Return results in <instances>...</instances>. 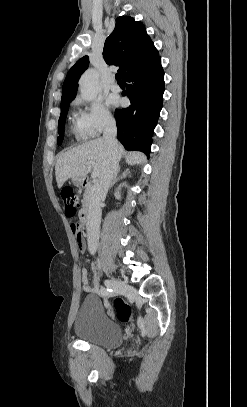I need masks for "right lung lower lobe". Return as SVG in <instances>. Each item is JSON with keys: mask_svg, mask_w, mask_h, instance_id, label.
Returning <instances> with one entry per match:
<instances>
[{"mask_svg": "<svg viewBox=\"0 0 247 407\" xmlns=\"http://www.w3.org/2000/svg\"><path fill=\"white\" fill-rule=\"evenodd\" d=\"M122 79L127 82L123 95L128 96L131 105L115 111L117 138L126 150L149 155L164 93L161 57L134 68Z\"/></svg>", "mask_w": 247, "mask_h": 407, "instance_id": "98d812e1", "label": "right lung lower lobe"}]
</instances>
